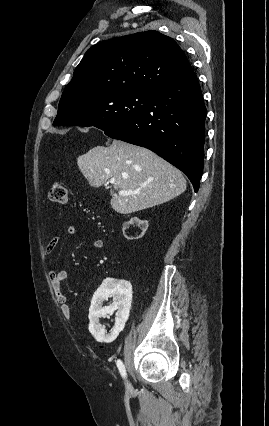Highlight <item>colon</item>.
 Here are the masks:
<instances>
[{
  "instance_id": "colon-1",
  "label": "colon",
  "mask_w": 269,
  "mask_h": 426,
  "mask_svg": "<svg viewBox=\"0 0 269 426\" xmlns=\"http://www.w3.org/2000/svg\"><path fill=\"white\" fill-rule=\"evenodd\" d=\"M49 197L52 202L64 205L68 202L69 192L65 183L55 182L49 192Z\"/></svg>"
}]
</instances>
